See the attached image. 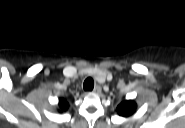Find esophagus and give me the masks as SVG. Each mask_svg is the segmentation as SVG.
Listing matches in <instances>:
<instances>
[{
    "label": "esophagus",
    "instance_id": "34e87169",
    "mask_svg": "<svg viewBox=\"0 0 185 128\" xmlns=\"http://www.w3.org/2000/svg\"><path fill=\"white\" fill-rule=\"evenodd\" d=\"M94 92L100 93L102 91V88L99 85H96L93 89Z\"/></svg>",
    "mask_w": 185,
    "mask_h": 128
}]
</instances>
